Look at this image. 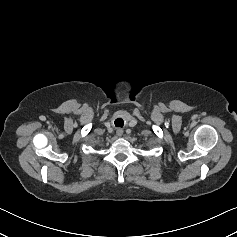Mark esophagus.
Returning <instances> with one entry per match:
<instances>
[{"label":"esophagus","mask_w":237,"mask_h":237,"mask_svg":"<svg viewBox=\"0 0 237 237\" xmlns=\"http://www.w3.org/2000/svg\"><path fill=\"white\" fill-rule=\"evenodd\" d=\"M122 134H123V131H122L121 129H118V130H117V135H118V136H121Z\"/></svg>","instance_id":"esophagus-1"}]
</instances>
